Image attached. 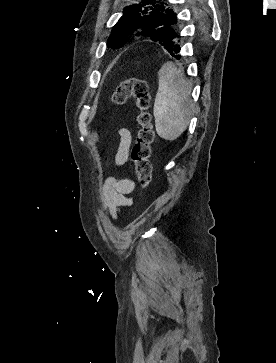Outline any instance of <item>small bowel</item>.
Wrapping results in <instances>:
<instances>
[{
    "label": "small bowel",
    "mask_w": 276,
    "mask_h": 363,
    "mask_svg": "<svg viewBox=\"0 0 276 363\" xmlns=\"http://www.w3.org/2000/svg\"><path fill=\"white\" fill-rule=\"evenodd\" d=\"M119 135L120 140L115 156V163L117 166H122L128 161L132 137L127 129H121ZM134 189L135 181L132 178H107L100 194L103 208L115 218L121 207L132 205L133 198L130 194Z\"/></svg>",
    "instance_id": "c3829d8e"
}]
</instances>
